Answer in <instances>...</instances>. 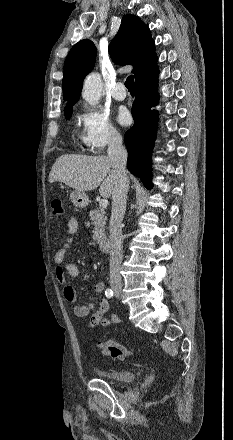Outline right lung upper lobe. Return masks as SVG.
Listing matches in <instances>:
<instances>
[{
	"label": "right lung upper lobe",
	"instance_id": "right-lung-upper-lobe-1",
	"mask_svg": "<svg viewBox=\"0 0 233 440\" xmlns=\"http://www.w3.org/2000/svg\"><path fill=\"white\" fill-rule=\"evenodd\" d=\"M150 30L138 17L127 14L122 18L118 33L109 46V52L118 64H131L135 83L157 69V57ZM96 47L90 40H81L70 50L63 75V98L67 100L64 110L80 98L85 76L95 64Z\"/></svg>",
	"mask_w": 233,
	"mask_h": 440
}]
</instances>
